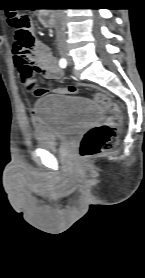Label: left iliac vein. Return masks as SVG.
Masks as SVG:
<instances>
[{
	"instance_id": "obj_1",
	"label": "left iliac vein",
	"mask_w": 145,
	"mask_h": 278,
	"mask_svg": "<svg viewBox=\"0 0 145 278\" xmlns=\"http://www.w3.org/2000/svg\"><path fill=\"white\" fill-rule=\"evenodd\" d=\"M68 62L71 63V58L70 57L68 58Z\"/></svg>"
}]
</instances>
